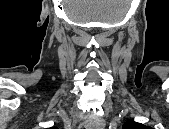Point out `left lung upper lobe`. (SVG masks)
Segmentation results:
<instances>
[{
    "instance_id": "left-lung-upper-lobe-1",
    "label": "left lung upper lobe",
    "mask_w": 169,
    "mask_h": 129,
    "mask_svg": "<svg viewBox=\"0 0 169 129\" xmlns=\"http://www.w3.org/2000/svg\"><path fill=\"white\" fill-rule=\"evenodd\" d=\"M146 128H148V127L141 124V123H137L134 121H127L123 125V129H146Z\"/></svg>"
}]
</instances>
